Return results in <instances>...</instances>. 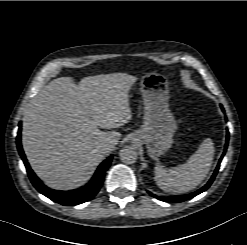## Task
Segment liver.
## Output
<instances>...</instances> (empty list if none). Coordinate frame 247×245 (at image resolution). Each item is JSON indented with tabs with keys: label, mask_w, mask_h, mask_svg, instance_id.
<instances>
[{
	"label": "liver",
	"mask_w": 247,
	"mask_h": 245,
	"mask_svg": "<svg viewBox=\"0 0 247 245\" xmlns=\"http://www.w3.org/2000/svg\"><path fill=\"white\" fill-rule=\"evenodd\" d=\"M137 78L127 73L88 76L75 84L60 77L28 104L22 144L36 175L50 188L71 190L84 185L110 152L101 144L118 143L115 129L131 119L129 90Z\"/></svg>",
	"instance_id": "6515ba94"
}]
</instances>
